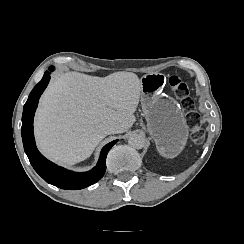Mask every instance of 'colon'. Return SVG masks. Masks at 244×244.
I'll use <instances>...</instances> for the list:
<instances>
[{
  "label": "colon",
  "instance_id": "colon-1",
  "mask_svg": "<svg viewBox=\"0 0 244 244\" xmlns=\"http://www.w3.org/2000/svg\"><path fill=\"white\" fill-rule=\"evenodd\" d=\"M170 89L173 90L183 107V110L187 114L188 121L193 125L192 140L194 142H201L204 139V130L200 127V122H198L199 115L195 111L194 99L190 96L189 86L178 76H172L169 78Z\"/></svg>",
  "mask_w": 244,
  "mask_h": 244
}]
</instances>
